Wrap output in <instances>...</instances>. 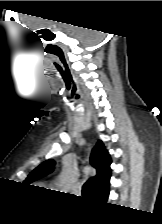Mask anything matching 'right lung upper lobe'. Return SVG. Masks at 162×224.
I'll return each mask as SVG.
<instances>
[{"label": "right lung upper lobe", "mask_w": 162, "mask_h": 224, "mask_svg": "<svg viewBox=\"0 0 162 224\" xmlns=\"http://www.w3.org/2000/svg\"><path fill=\"white\" fill-rule=\"evenodd\" d=\"M90 163L97 171L96 176L89 179L91 184L90 194L94 198H99L109 191L111 177V158L101 141H98L93 148ZM54 165L55 161L51 159L43 162L28 175L25 182L29 184L46 176L52 172Z\"/></svg>", "instance_id": "cb5924a9"}]
</instances>
